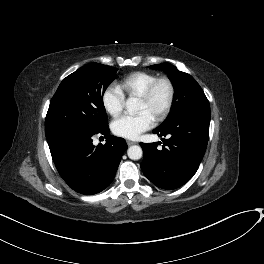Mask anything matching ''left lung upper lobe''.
Segmentation results:
<instances>
[{
  "label": "left lung upper lobe",
  "instance_id": "obj_1",
  "mask_svg": "<svg viewBox=\"0 0 264 264\" xmlns=\"http://www.w3.org/2000/svg\"><path fill=\"white\" fill-rule=\"evenodd\" d=\"M149 67L165 71L171 79L175 89L171 114L157 128H163L189 112L210 110L208 99L202 88L191 75L179 71L175 66L169 63L151 65Z\"/></svg>",
  "mask_w": 264,
  "mask_h": 264
}]
</instances>
